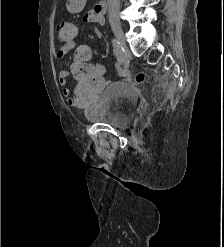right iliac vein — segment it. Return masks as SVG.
I'll list each match as a JSON object with an SVG mask.
<instances>
[{"label":"right iliac vein","mask_w":224,"mask_h":247,"mask_svg":"<svg viewBox=\"0 0 224 247\" xmlns=\"http://www.w3.org/2000/svg\"><path fill=\"white\" fill-rule=\"evenodd\" d=\"M112 30H113V33L117 41L119 42V45L125 52L127 50V46H126L125 37H124V33H123L121 26L119 24H113Z\"/></svg>","instance_id":"right-iliac-vein-1"}]
</instances>
